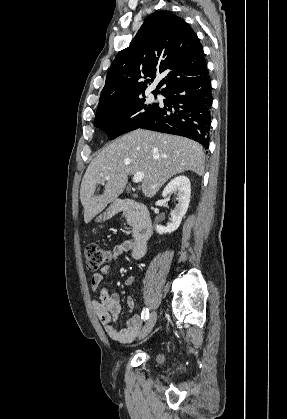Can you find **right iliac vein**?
I'll list each match as a JSON object with an SVG mask.
<instances>
[{
  "label": "right iliac vein",
  "mask_w": 287,
  "mask_h": 419,
  "mask_svg": "<svg viewBox=\"0 0 287 419\" xmlns=\"http://www.w3.org/2000/svg\"><path fill=\"white\" fill-rule=\"evenodd\" d=\"M156 320H157V313H156V311H153L150 314L143 330L141 331V333L139 335V339L145 338L152 331V329H153V327L156 323Z\"/></svg>",
  "instance_id": "right-iliac-vein-1"
}]
</instances>
